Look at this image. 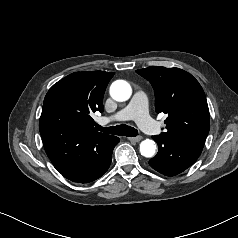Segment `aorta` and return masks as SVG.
I'll return each mask as SVG.
<instances>
[{
	"instance_id": "aorta-1",
	"label": "aorta",
	"mask_w": 238,
	"mask_h": 238,
	"mask_svg": "<svg viewBox=\"0 0 238 238\" xmlns=\"http://www.w3.org/2000/svg\"><path fill=\"white\" fill-rule=\"evenodd\" d=\"M132 89L128 82L116 80L110 86L111 97L119 102L128 100L131 97ZM140 153L142 156L151 158L156 153V145L153 140L146 139L140 143Z\"/></svg>"
}]
</instances>
